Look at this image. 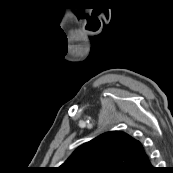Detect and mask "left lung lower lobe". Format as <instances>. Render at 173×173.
I'll return each instance as SVG.
<instances>
[{
    "instance_id": "0a47b994",
    "label": "left lung lower lobe",
    "mask_w": 173,
    "mask_h": 173,
    "mask_svg": "<svg viewBox=\"0 0 173 173\" xmlns=\"http://www.w3.org/2000/svg\"><path fill=\"white\" fill-rule=\"evenodd\" d=\"M157 168L153 167L151 162H149V164L142 169V171H140V173H157L158 170H156Z\"/></svg>"
}]
</instances>
